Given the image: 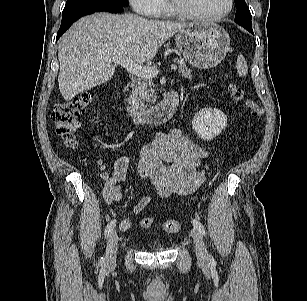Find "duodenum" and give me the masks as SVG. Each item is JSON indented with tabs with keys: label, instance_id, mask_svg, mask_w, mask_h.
Masks as SVG:
<instances>
[{
	"label": "duodenum",
	"instance_id": "410a0bca",
	"mask_svg": "<svg viewBox=\"0 0 307 301\" xmlns=\"http://www.w3.org/2000/svg\"><path fill=\"white\" fill-rule=\"evenodd\" d=\"M122 101L135 123L159 125L168 121L176 112L179 103V93L177 91H170L158 105L145 107L129 99L127 88L124 87Z\"/></svg>",
	"mask_w": 307,
	"mask_h": 301
}]
</instances>
